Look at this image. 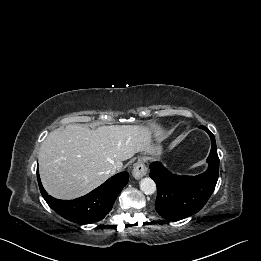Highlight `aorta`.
Returning a JSON list of instances; mask_svg holds the SVG:
<instances>
[{
  "mask_svg": "<svg viewBox=\"0 0 261 261\" xmlns=\"http://www.w3.org/2000/svg\"><path fill=\"white\" fill-rule=\"evenodd\" d=\"M140 189L143 193L151 195L156 191V184L153 179L146 177L140 181Z\"/></svg>",
  "mask_w": 261,
  "mask_h": 261,
  "instance_id": "aorta-1",
  "label": "aorta"
}]
</instances>
